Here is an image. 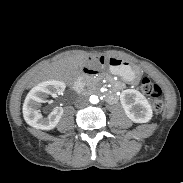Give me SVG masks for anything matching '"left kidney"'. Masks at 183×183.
<instances>
[{
	"instance_id": "obj_1",
	"label": "left kidney",
	"mask_w": 183,
	"mask_h": 183,
	"mask_svg": "<svg viewBox=\"0 0 183 183\" xmlns=\"http://www.w3.org/2000/svg\"><path fill=\"white\" fill-rule=\"evenodd\" d=\"M120 102L127 117L135 123L149 122L153 116L152 108L145 97L135 89L122 91Z\"/></svg>"
}]
</instances>
